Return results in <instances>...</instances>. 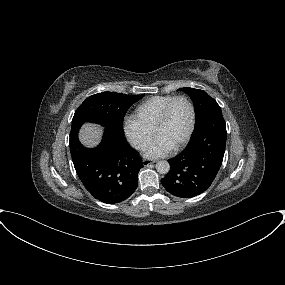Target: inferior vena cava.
Listing matches in <instances>:
<instances>
[{"instance_id":"602c4592","label":"inferior vena cava","mask_w":285,"mask_h":285,"mask_svg":"<svg viewBox=\"0 0 285 285\" xmlns=\"http://www.w3.org/2000/svg\"><path fill=\"white\" fill-rule=\"evenodd\" d=\"M132 145H133V147L136 148V149H141V150H143V149L146 148V143H145L143 140H134V141L132 142Z\"/></svg>"}]
</instances>
